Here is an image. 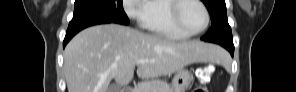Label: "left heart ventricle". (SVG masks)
<instances>
[{"label":"left heart ventricle","instance_id":"left-heart-ventricle-1","mask_svg":"<svg viewBox=\"0 0 296 92\" xmlns=\"http://www.w3.org/2000/svg\"><path fill=\"white\" fill-rule=\"evenodd\" d=\"M205 19L202 7L196 2H186L180 10V21L187 31L200 30L205 24Z\"/></svg>","mask_w":296,"mask_h":92}]
</instances>
